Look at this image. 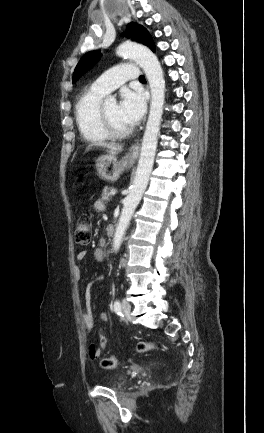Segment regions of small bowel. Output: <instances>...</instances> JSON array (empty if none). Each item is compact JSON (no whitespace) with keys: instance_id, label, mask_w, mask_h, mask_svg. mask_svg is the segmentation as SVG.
Masks as SVG:
<instances>
[{"instance_id":"1","label":"small bowel","mask_w":264,"mask_h":433,"mask_svg":"<svg viewBox=\"0 0 264 433\" xmlns=\"http://www.w3.org/2000/svg\"><path fill=\"white\" fill-rule=\"evenodd\" d=\"M93 207H94L95 211H97V212H101L105 209V205L101 200L95 201ZM86 256H87V252L84 250L79 251L77 253V259H79V260L85 259ZM76 275H77L78 279L81 278L80 269H77ZM104 284H105L104 278L98 277L87 286L86 291H85L84 308H83L82 313H81V318H82L83 325L89 331H91L95 326L94 316L92 314L91 307H90L91 294H92V291L95 287L102 286ZM101 319L105 322L107 321L106 313L101 314ZM102 350L103 349L99 345L91 343L88 347L89 358L92 360L98 359L102 353Z\"/></svg>"}]
</instances>
